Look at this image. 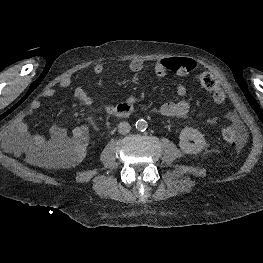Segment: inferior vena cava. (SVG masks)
<instances>
[{"instance_id": "1", "label": "inferior vena cava", "mask_w": 263, "mask_h": 263, "mask_svg": "<svg viewBox=\"0 0 263 263\" xmlns=\"http://www.w3.org/2000/svg\"><path fill=\"white\" fill-rule=\"evenodd\" d=\"M131 130V126H130V124L128 123V122H121V123H119V125H118V132L120 133V134H127V133H129V131Z\"/></svg>"}]
</instances>
